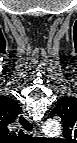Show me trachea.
<instances>
[{
	"mask_svg": "<svg viewBox=\"0 0 77 143\" xmlns=\"http://www.w3.org/2000/svg\"><path fill=\"white\" fill-rule=\"evenodd\" d=\"M19 136L26 137V138H30L31 137V135L24 134V132H22V130H20Z\"/></svg>",
	"mask_w": 77,
	"mask_h": 143,
	"instance_id": "trachea-1",
	"label": "trachea"
}]
</instances>
